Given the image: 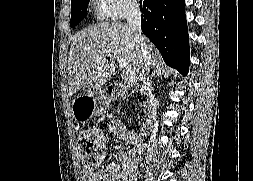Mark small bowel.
Returning <instances> with one entry per match:
<instances>
[{
  "label": "small bowel",
  "instance_id": "c3829d8e",
  "mask_svg": "<svg viewBox=\"0 0 253 181\" xmlns=\"http://www.w3.org/2000/svg\"><path fill=\"white\" fill-rule=\"evenodd\" d=\"M116 137L127 145L134 146L129 152L119 155L121 163L110 162L102 172L85 171L87 181H136L139 175L138 163L142 153V141L137 134L128 130L120 121H113L108 126Z\"/></svg>",
  "mask_w": 253,
  "mask_h": 181
}]
</instances>
